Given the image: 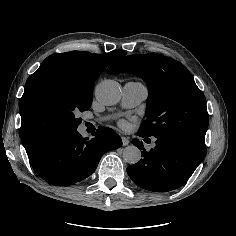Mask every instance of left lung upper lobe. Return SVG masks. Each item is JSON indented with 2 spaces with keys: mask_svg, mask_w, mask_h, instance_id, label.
<instances>
[{
  "mask_svg": "<svg viewBox=\"0 0 236 236\" xmlns=\"http://www.w3.org/2000/svg\"><path fill=\"white\" fill-rule=\"evenodd\" d=\"M106 72L135 74L147 83V120L138 135L171 133L205 143L209 122L206 99L183 64L156 53L134 54L120 59Z\"/></svg>",
  "mask_w": 236,
  "mask_h": 236,
  "instance_id": "left-lung-upper-lobe-1",
  "label": "left lung upper lobe"
}]
</instances>
